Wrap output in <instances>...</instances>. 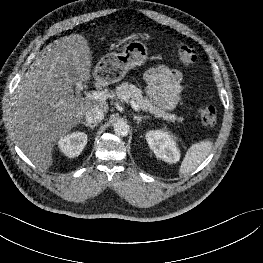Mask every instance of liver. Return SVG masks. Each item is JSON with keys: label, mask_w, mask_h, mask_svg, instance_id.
Listing matches in <instances>:
<instances>
[{"label": "liver", "mask_w": 263, "mask_h": 263, "mask_svg": "<svg viewBox=\"0 0 263 263\" xmlns=\"http://www.w3.org/2000/svg\"><path fill=\"white\" fill-rule=\"evenodd\" d=\"M92 52L83 35L71 34L47 45L15 90L9 121L23 153L39 168L52 163L55 144L85 113L104 101L74 96L70 74L79 82L91 79Z\"/></svg>", "instance_id": "6515ba94"}]
</instances>
